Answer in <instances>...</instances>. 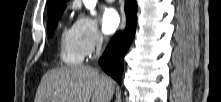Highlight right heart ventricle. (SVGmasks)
Here are the masks:
<instances>
[{"label": "right heart ventricle", "instance_id": "e07e8e85", "mask_svg": "<svg viewBox=\"0 0 221 102\" xmlns=\"http://www.w3.org/2000/svg\"><path fill=\"white\" fill-rule=\"evenodd\" d=\"M59 56L64 63L69 65L79 64L83 60V56L76 45L72 28L64 27L62 29L59 40Z\"/></svg>", "mask_w": 221, "mask_h": 102}]
</instances>
